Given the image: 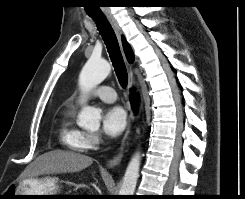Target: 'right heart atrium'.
Segmentation results:
<instances>
[{"label":"right heart atrium","mask_w":245,"mask_h":199,"mask_svg":"<svg viewBox=\"0 0 245 199\" xmlns=\"http://www.w3.org/2000/svg\"><path fill=\"white\" fill-rule=\"evenodd\" d=\"M100 143L101 138L97 133H86V146L88 149L96 148Z\"/></svg>","instance_id":"d8ad5b80"}]
</instances>
